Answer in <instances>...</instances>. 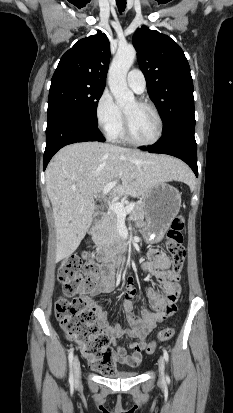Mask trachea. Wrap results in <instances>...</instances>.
<instances>
[{
	"label": "trachea",
	"mask_w": 233,
	"mask_h": 413,
	"mask_svg": "<svg viewBox=\"0 0 233 413\" xmlns=\"http://www.w3.org/2000/svg\"><path fill=\"white\" fill-rule=\"evenodd\" d=\"M116 4L120 12L126 8V0H116Z\"/></svg>",
	"instance_id": "obj_1"
}]
</instances>
